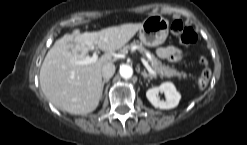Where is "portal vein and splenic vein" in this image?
I'll return each instance as SVG.
<instances>
[{
	"instance_id": "portal-vein-and-splenic-vein-1",
	"label": "portal vein and splenic vein",
	"mask_w": 247,
	"mask_h": 145,
	"mask_svg": "<svg viewBox=\"0 0 247 145\" xmlns=\"http://www.w3.org/2000/svg\"><path fill=\"white\" fill-rule=\"evenodd\" d=\"M98 56L96 54L92 55V56H86L84 59L82 60H76L74 63L77 65H90L93 64L97 61ZM142 63L144 64V66L146 67V69L148 70V72L152 75H157L156 72L150 67V65L148 64V62L144 59H142Z\"/></svg>"
}]
</instances>
